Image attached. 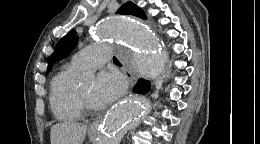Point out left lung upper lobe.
<instances>
[{
    "mask_svg": "<svg viewBox=\"0 0 260 144\" xmlns=\"http://www.w3.org/2000/svg\"><path fill=\"white\" fill-rule=\"evenodd\" d=\"M117 13L124 15H134L143 19L146 18L144 11L132 2H127L126 4H123L118 9ZM76 44L77 39L74 30L62 37L58 42L55 51L49 59L47 72L50 71V69L56 61L68 56L69 53L73 50V48L76 46Z\"/></svg>",
    "mask_w": 260,
    "mask_h": 144,
    "instance_id": "5c2ea615",
    "label": "left lung upper lobe"
}]
</instances>
